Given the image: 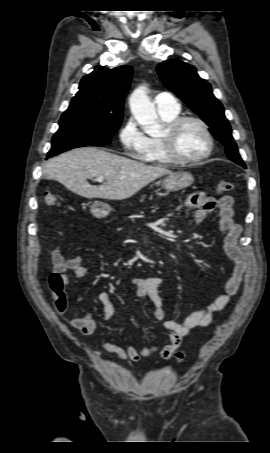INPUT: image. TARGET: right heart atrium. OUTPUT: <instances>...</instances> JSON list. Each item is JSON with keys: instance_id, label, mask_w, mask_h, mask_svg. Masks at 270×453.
Returning <instances> with one entry per match:
<instances>
[{"instance_id": "1", "label": "right heart atrium", "mask_w": 270, "mask_h": 453, "mask_svg": "<svg viewBox=\"0 0 270 453\" xmlns=\"http://www.w3.org/2000/svg\"><path fill=\"white\" fill-rule=\"evenodd\" d=\"M119 140L126 155L139 158L147 148L148 137L134 118H128L119 132Z\"/></svg>"}]
</instances>
